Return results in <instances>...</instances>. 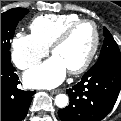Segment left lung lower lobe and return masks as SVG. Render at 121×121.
I'll use <instances>...</instances> for the list:
<instances>
[{
  "mask_svg": "<svg viewBox=\"0 0 121 121\" xmlns=\"http://www.w3.org/2000/svg\"><path fill=\"white\" fill-rule=\"evenodd\" d=\"M121 89V64L91 68L67 90L70 104L59 110L62 121H100L114 107Z\"/></svg>",
  "mask_w": 121,
  "mask_h": 121,
  "instance_id": "obj_1",
  "label": "left lung lower lobe"
}]
</instances>
